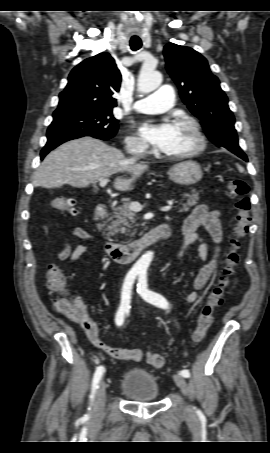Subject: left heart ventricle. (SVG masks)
<instances>
[{
    "mask_svg": "<svg viewBox=\"0 0 270 453\" xmlns=\"http://www.w3.org/2000/svg\"><path fill=\"white\" fill-rule=\"evenodd\" d=\"M196 139L188 126L175 124V132L169 145L162 151L167 154H177L193 149Z\"/></svg>",
    "mask_w": 270,
    "mask_h": 453,
    "instance_id": "1",
    "label": "left heart ventricle"
}]
</instances>
